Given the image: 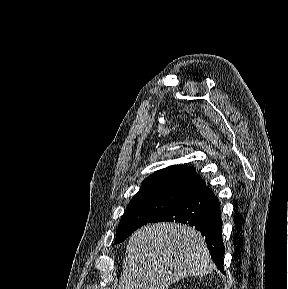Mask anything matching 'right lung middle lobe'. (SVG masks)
<instances>
[{"instance_id": "dd1d6c3e", "label": "right lung middle lobe", "mask_w": 288, "mask_h": 289, "mask_svg": "<svg viewBox=\"0 0 288 289\" xmlns=\"http://www.w3.org/2000/svg\"><path fill=\"white\" fill-rule=\"evenodd\" d=\"M187 193L175 188H153L139 191L122 216L115 244L125 240L137 228L159 217Z\"/></svg>"}]
</instances>
